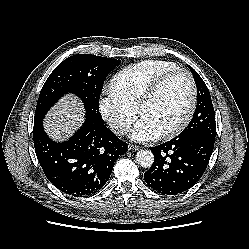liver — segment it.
Masks as SVG:
<instances>
[{
	"label": "liver",
	"mask_w": 249,
	"mask_h": 249,
	"mask_svg": "<svg viewBox=\"0 0 249 249\" xmlns=\"http://www.w3.org/2000/svg\"><path fill=\"white\" fill-rule=\"evenodd\" d=\"M84 121L83 105L75 96L64 97L46 117L44 126L51 138L62 141Z\"/></svg>",
	"instance_id": "liver-1"
}]
</instances>
